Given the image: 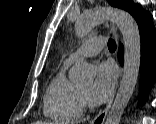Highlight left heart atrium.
Listing matches in <instances>:
<instances>
[{
  "instance_id": "obj_1",
  "label": "left heart atrium",
  "mask_w": 156,
  "mask_h": 124,
  "mask_svg": "<svg viewBox=\"0 0 156 124\" xmlns=\"http://www.w3.org/2000/svg\"><path fill=\"white\" fill-rule=\"evenodd\" d=\"M116 80V69L110 62H103L96 68V76L91 89L92 99L103 102L113 92Z\"/></svg>"
}]
</instances>
